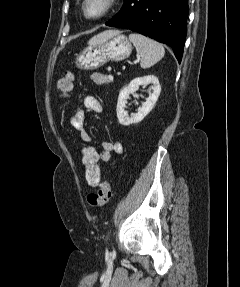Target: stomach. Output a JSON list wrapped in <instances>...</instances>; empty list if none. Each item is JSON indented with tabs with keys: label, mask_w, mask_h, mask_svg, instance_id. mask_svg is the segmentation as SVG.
Here are the masks:
<instances>
[{
	"label": "stomach",
	"mask_w": 240,
	"mask_h": 287,
	"mask_svg": "<svg viewBox=\"0 0 240 287\" xmlns=\"http://www.w3.org/2000/svg\"><path fill=\"white\" fill-rule=\"evenodd\" d=\"M132 45L118 30H110L98 40L90 41L77 56L76 65L80 69H97L109 61H122L130 56Z\"/></svg>",
	"instance_id": "stomach-1"
}]
</instances>
